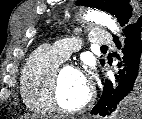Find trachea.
<instances>
[{
  "mask_svg": "<svg viewBox=\"0 0 142 119\" xmlns=\"http://www.w3.org/2000/svg\"><path fill=\"white\" fill-rule=\"evenodd\" d=\"M108 47L107 46H101V49H107Z\"/></svg>",
  "mask_w": 142,
  "mask_h": 119,
  "instance_id": "3493384b",
  "label": "trachea"
}]
</instances>
